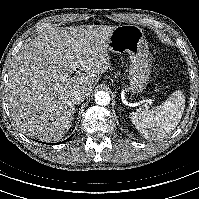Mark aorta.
Listing matches in <instances>:
<instances>
[{"instance_id":"obj_1","label":"aorta","mask_w":199,"mask_h":199,"mask_svg":"<svg viewBox=\"0 0 199 199\" xmlns=\"http://www.w3.org/2000/svg\"><path fill=\"white\" fill-rule=\"evenodd\" d=\"M96 104L106 106L110 103V95L105 91H97L94 96Z\"/></svg>"}]
</instances>
